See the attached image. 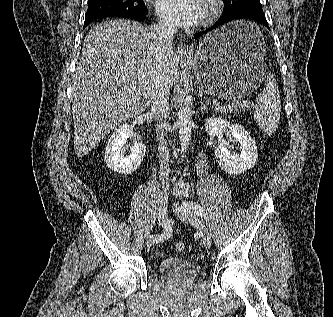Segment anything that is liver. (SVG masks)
<instances>
[{
  "mask_svg": "<svg viewBox=\"0 0 333 317\" xmlns=\"http://www.w3.org/2000/svg\"><path fill=\"white\" fill-rule=\"evenodd\" d=\"M177 65L172 48H164L151 27L124 19L93 27L71 87L75 154L86 155L110 131L147 109L156 78L164 75L172 86Z\"/></svg>",
  "mask_w": 333,
  "mask_h": 317,
  "instance_id": "liver-1",
  "label": "liver"
}]
</instances>
